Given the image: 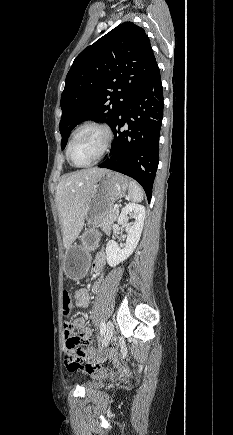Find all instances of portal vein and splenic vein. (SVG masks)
<instances>
[{
	"label": "portal vein and splenic vein",
	"instance_id": "18ae733b",
	"mask_svg": "<svg viewBox=\"0 0 233 435\" xmlns=\"http://www.w3.org/2000/svg\"><path fill=\"white\" fill-rule=\"evenodd\" d=\"M114 208L118 209L119 207H118V205H115Z\"/></svg>",
	"mask_w": 233,
	"mask_h": 435
}]
</instances>
